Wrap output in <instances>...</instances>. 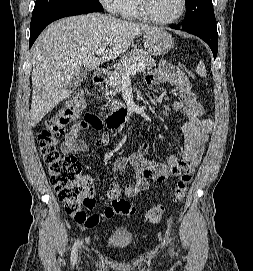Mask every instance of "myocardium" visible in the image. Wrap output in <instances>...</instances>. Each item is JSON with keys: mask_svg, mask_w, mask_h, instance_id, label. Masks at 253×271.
Segmentation results:
<instances>
[{"mask_svg": "<svg viewBox=\"0 0 253 271\" xmlns=\"http://www.w3.org/2000/svg\"><path fill=\"white\" fill-rule=\"evenodd\" d=\"M136 3L141 17H143L145 20L149 22L160 25H169L176 23L185 15L187 10V0H181L180 10L174 17L168 19H160L151 15L147 7V0H136Z\"/></svg>", "mask_w": 253, "mask_h": 271, "instance_id": "myocardium-1", "label": "myocardium"}]
</instances>
